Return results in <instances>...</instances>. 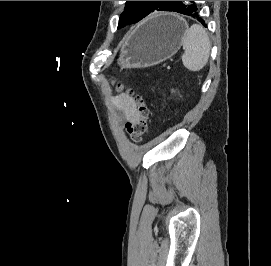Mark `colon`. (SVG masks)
<instances>
[{
    "instance_id": "5ec220e1",
    "label": "colon",
    "mask_w": 271,
    "mask_h": 266,
    "mask_svg": "<svg viewBox=\"0 0 271 266\" xmlns=\"http://www.w3.org/2000/svg\"><path fill=\"white\" fill-rule=\"evenodd\" d=\"M138 117L126 124V131L134 142H140L148 131L149 108L141 96L136 95Z\"/></svg>"
}]
</instances>
